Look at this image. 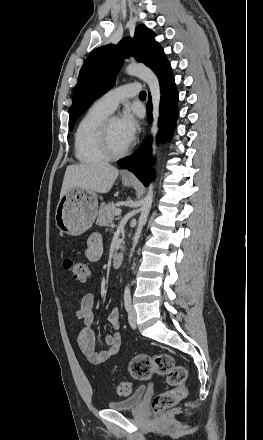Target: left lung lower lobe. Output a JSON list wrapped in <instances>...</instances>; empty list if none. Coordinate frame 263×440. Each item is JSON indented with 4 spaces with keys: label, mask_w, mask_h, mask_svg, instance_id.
I'll return each mask as SVG.
<instances>
[{
    "label": "left lung lower lobe",
    "mask_w": 263,
    "mask_h": 440,
    "mask_svg": "<svg viewBox=\"0 0 263 440\" xmlns=\"http://www.w3.org/2000/svg\"><path fill=\"white\" fill-rule=\"evenodd\" d=\"M155 73L159 77L161 87V101H160V126L162 136L169 138L172 134L177 115L178 92L176 90L174 76L170 63H166L156 69ZM150 99V96H149ZM152 108L151 102H148L147 109L150 113ZM151 142L145 141L141 147L129 157L118 161V165L134 173V175L145 185L152 179L153 172L151 171Z\"/></svg>",
    "instance_id": "obj_1"
}]
</instances>
